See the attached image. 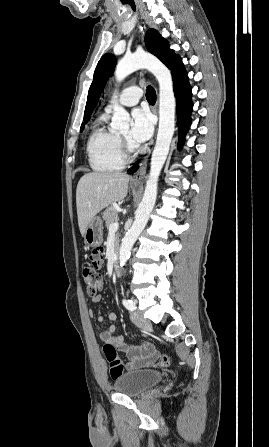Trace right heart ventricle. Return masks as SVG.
<instances>
[{
  "label": "right heart ventricle",
  "mask_w": 269,
  "mask_h": 447,
  "mask_svg": "<svg viewBox=\"0 0 269 447\" xmlns=\"http://www.w3.org/2000/svg\"><path fill=\"white\" fill-rule=\"evenodd\" d=\"M109 112L100 115L88 142L89 164L95 171H113L125 165L119 135L107 125Z\"/></svg>",
  "instance_id": "right-heart-ventricle-1"
}]
</instances>
